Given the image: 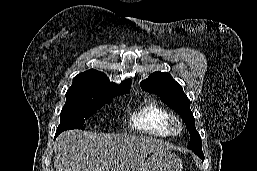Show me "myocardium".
Returning a JSON list of instances; mask_svg holds the SVG:
<instances>
[{
	"mask_svg": "<svg viewBox=\"0 0 257 171\" xmlns=\"http://www.w3.org/2000/svg\"><path fill=\"white\" fill-rule=\"evenodd\" d=\"M167 129L172 135L180 134L183 130L182 120L177 115L170 114L167 119Z\"/></svg>",
	"mask_w": 257,
	"mask_h": 171,
	"instance_id": "f54148a6",
	"label": "myocardium"
}]
</instances>
